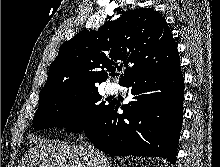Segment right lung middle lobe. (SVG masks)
<instances>
[{
	"instance_id": "right-lung-middle-lobe-1",
	"label": "right lung middle lobe",
	"mask_w": 220,
	"mask_h": 167,
	"mask_svg": "<svg viewBox=\"0 0 220 167\" xmlns=\"http://www.w3.org/2000/svg\"><path fill=\"white\" fill-rule=\"evenodd\" d=\"M97 87H85L61 91L41 101L36 112L33 128H67L71 132H82L89 128L108 105L101 100Z\"/></svg>"
}]
</instances>
